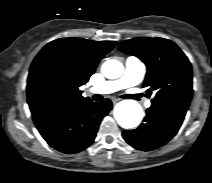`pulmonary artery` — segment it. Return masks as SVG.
Instances as JSON below:
<instances>
[{
	"label": "pulmonary artery",
	"instance_id": "obj_1",
	"mask_svg": "<svg viewBox=\"0 0 212 183\" xmlns=\"http://www.w3.org/2000/svg\"><path fill=\"white\" fill-rule=\"evenodd\" d=\"M146 74V66L135 57L126 60L124 71L116 80L105 81L92 88V91L99 94L113 93L121 89L138 85ZM146 107L151 106V102L145 103Z\"/></svg>",
	"mask_w": 212,
	"mask_h": 183
}]
</instances>
